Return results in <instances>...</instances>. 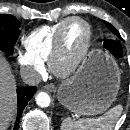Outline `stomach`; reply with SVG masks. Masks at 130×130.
Masks as SVG:
<instances>
[{"label": "stomach", "instance_id": "0dacf381", "mask_svg": "<svg viewBox=\"0 0 130 130\" xmlns=\"http://www.w3.org/2000/svg\"><path fill=\"white\" fill-rule=\"evenodd\" d=\"M120 69L116 61L101 50H92L75 75L58 88L59 102L78 115H97L116 100Z\"/></svg>", "mask_w": 130, "mask_h": 130}]
</instances>
